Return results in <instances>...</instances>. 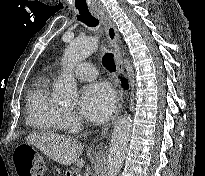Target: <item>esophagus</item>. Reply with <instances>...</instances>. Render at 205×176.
I'll use <instances>...</instances> for the list:
<instances>
[{"label": "esophagus", "mask_w": 205, "mask_h": 176, "mask_svg": "<svg viewBox=\"0 0 205 176\" xmlns=\"http://www.w3.org/2000/svg\"><path fill=\"white\" fill-rule=\"evenodd\" d=\"M92 12L98 19L101 20V22L105 28L107 42H108V45L111 49V52L113 53L114 62H115V66H116V70H117L118 75H120V76L125 75L124 66H123L120 48H119V34H118V30L116 28L115 23L112 21L110 15L108 14V12L104 6L96 7L92 10ZM124 102H125V91L121 87V85H119L118 104H117L116 111H115L113 117L111 118V120L105 125V127L103 128L100 135L97 136V138H95L91 142L92 145L98 144L106 138L108 132L112 128L113 124L116 122L119 115L121 114Z\"/></svg>", "instance_id": "34e87169"}]
</instances>
